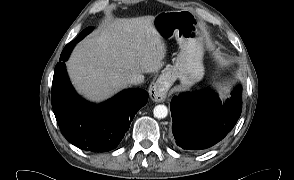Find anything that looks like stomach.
Instances as JSON below:
<instances>
[{
    "label": "stomach",
    "instance_id": "0dacf381",
    "mask_svg": "<svg viewBox=\"0 0 294 180\" xmlns=\"http://www.w3.org/2000/svg\"><path fill=\"white\" fill-rule=\"evenodd\" d=\"M153 25L164 39L175 37L180 52L175 63L166 68L163 87L179 79L183 88L199 82L204 76L203 45L197 19L189 11H165L154 17Z\"/></svg>",
    "mask_w": 294,
    "mask_h": 180
}]
</instances>
